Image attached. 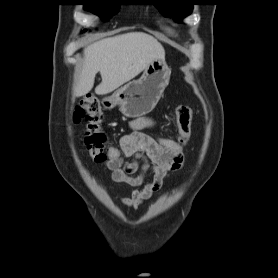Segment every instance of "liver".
I'll use <instances>...</instances> for the list:
<instances>
[{"label":"liver","mask_w":278,"mask_h":278,"mask_svg":"<svg viewBox=\"0 0 278 278\" xmlns=\"http://www.w3.org/2000/svg\"><path fill=\"white\" fill-rule=\"evenodd\" d=\"M82 70L74 87V96L81 97L94 86L100 72L102 81L98 95L113 92L135 78L156 59L165 58L163 46L153 36L130 32L96 41L84 49Z\"/></svg>","instance_id":"6515ba94"}]
</instances>
